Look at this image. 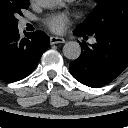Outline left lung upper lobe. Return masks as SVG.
<instances>
[{
	"label": "left lung upper lobe",
	"mask_w": 128,
	"mask_h": 128,
	"mask_svg": "<svg viewBox=\"0 0 128 128\" xmlns=\"http://www.w3.org/2000/svg\"><path fill=\"white\" fill-rule=\"evenodd\" d=\"M93 15L78 29L89 35L128 32V0H97Z\"/></svg>",
	"instance_id": "1"
}]
</instances>
